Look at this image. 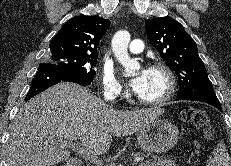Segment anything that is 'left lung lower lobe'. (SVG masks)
Instances as JSON below:
<instances>
[{
	"instance_id": "obj_1",
	"label": "left lung lower lobe",
	"mask_w": 231,
	"mask_h": 166,
	"mask_svg": "<svg viewBox=\"0 0 231 166\" xmlns=\"http://www.w3.org/2000/svg\"><path fill=\"white\" fill-rule=\"evenodd\" d=\"M176 100H191L205 102L222 111L221 104L214 92H188L182 95H178Z\"/></svg>"
}]
</instances>
